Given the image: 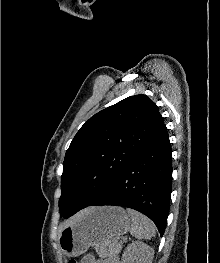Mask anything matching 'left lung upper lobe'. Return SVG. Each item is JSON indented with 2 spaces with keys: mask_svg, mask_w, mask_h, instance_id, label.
<instances>
[{
  "mask_svg": "<svg viewBox=\"0 0 220 263\" xmlns=\"http://www.w3.org/2000/svg\"><path fill=\"white\" fill-rule=\"evenodd\" d=\"M163 125L158 107L146 95L125 98L92 116L65 154L61 216L78 212L101 195Z\"/></svg>",
  "mask_w": 220,
  "mask_h": 263,
  "instance_id": "5c2ea615",
  "label": "left lung upper lobe"
}]
</instances>
